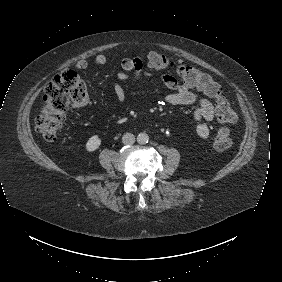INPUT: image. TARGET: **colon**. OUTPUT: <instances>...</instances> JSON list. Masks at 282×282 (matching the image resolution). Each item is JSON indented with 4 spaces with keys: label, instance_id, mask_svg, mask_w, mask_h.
Here are the masks:
<instances>
[{
    "label": "colon",
    "instance_id": "1",
    "mask_svg": "<svg viewBox=\"0 0 282 282\" xmlns=\"http://www.w3.org/2000/svg\"><path fill=\"white\" fill-rule=\"evenodd\" d=\"M150 68L154 70L175 69L176 74L188 87H196L216 101V112L224 123H234L237 114L230 101L223 96L219 83L209 74L200 72L193 66L177 63L161 52H151L148 56ZM89 102L87 87L79 75L73 71L62 72L46 85L42 113L36 119L37 132L46 141H55L64 124V114L68 107H84ZM213 145L218 153L227 152L232 146L230 131L221 128L213 137Z\"/></svg>",
    "mask_w": 282,
    "mask_h": 282
}]
</instances>
